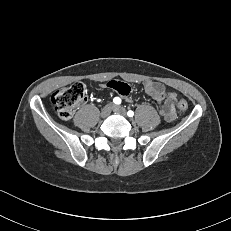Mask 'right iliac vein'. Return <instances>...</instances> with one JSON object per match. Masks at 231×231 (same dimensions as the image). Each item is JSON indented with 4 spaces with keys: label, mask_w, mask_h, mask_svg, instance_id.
<instances>
[{
    "label": "right iliac vein",
    "mask_w": 231,
    "mask_h": 231,
    "mask_svg": "<svg viewBox=\"0 0 231 231\" xmlns=\"http://www.w3.org/2000/svg\"><path fill=\"white\" fill-rule=\"evenodd\" d=\"M113 109V105L111 103L106 104L101 110V117H108Z\"/></svg>",
    "instance_id": "obj_1"
}]
</instances>
